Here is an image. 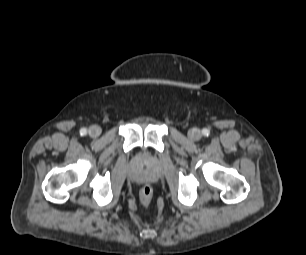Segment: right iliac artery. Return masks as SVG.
Returning <instances> with one entry per match:
<instances>
[{
    "label": "right iliac artery",
    "instance_id": "82829eb1",
    "mask_svg": "<svg viewBox=\"0 0 306 255\" xmlns=\"http://www.w3.org/2000/svg\"><path fill=\"white\" fill-rule=\"evenodd\" d=\"M80 134H81L82 136L86 135V134H87V130H86L85 128H82V129L80 130Z\"/></svg>",
    "mask_w": 306,
    "mask_h": 255
}]
</instances>
